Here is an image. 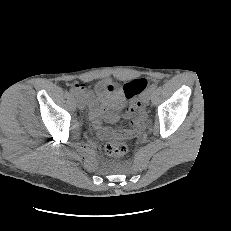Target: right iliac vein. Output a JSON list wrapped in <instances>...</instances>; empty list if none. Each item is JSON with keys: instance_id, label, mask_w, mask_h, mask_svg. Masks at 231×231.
<instances>
[{"instance_id": "obj_1", "label": "right iliac vein", "mask_w": 231, "mask_h": 231, "mask_svg": "<svg viewBox=\"0 0 231 231\" xmlns=\"http://www.w3.org/2000/svg\"><path fill=\"white\" fill-rule=\"evenodd\" d=\"M75 99H76L78 107L80 109H83L85 107V100H84L83 95L80 92H76Z\"/></svg>"}]
</instances>
